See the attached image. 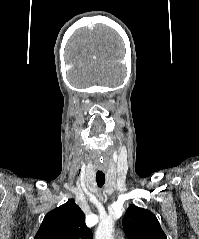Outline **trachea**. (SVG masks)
<instances>
[{
    "label": "trachea",
    "mask_w": 199,
    "mask_h": 239,
    "mask_svg": "<svg viewBox=\"0 0 199 239\" xmlns=\"http://www.w3.org/2000/svg\"><path fill=\"white\" fill-rule=\"evenodd\" d=\"M96 182L99 187H102L105 183V175L103 173H97Z\"/></svg>",
    "instance_id": "3493384b"
}]
</instances>
